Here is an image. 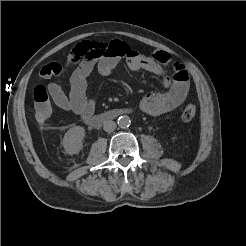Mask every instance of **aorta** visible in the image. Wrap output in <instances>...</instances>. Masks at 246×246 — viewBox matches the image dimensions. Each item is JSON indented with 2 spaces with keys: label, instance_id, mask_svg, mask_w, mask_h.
Returning a JSON list of instances; mask_svg holds the SVG:
<instances>
[{
  "label": "aorta",
  "instance_id": "762f6f07",
  "mask_svg": "<svg viewBox=\"0 0 246 246\" xmlns=\"http://www.w3.org/2000/svg\"><path fill=\"white\" fill-rule=\"evenodd\" d=\"M117 124L120 128L125 129L128 128L131 124V120L128 116H120L118 118Z\"/></svg>",
  "mask_w": 246,
  "mask_h": 246
}]
</instances>
